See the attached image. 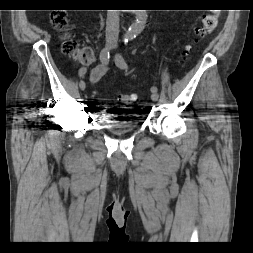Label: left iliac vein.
<instances>
[{
    "label": "left iliac vein",
    "instance_id": "4c4485c4",
    "mask_svg": "<svg viewBox=\"0 0 253 253\" xmlns=\"http://www.w3.org/2000/svg\"><path fill=\"white\" fill-rule=\"evenodd\" d=\"M158 98H159V95H158L157 92H152L151 93V99H152V101L156 102L158 100Z\"/></svg>",
    "mask_w": 253,
    "mask_h": 253
}]
</instances>
